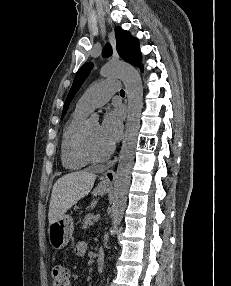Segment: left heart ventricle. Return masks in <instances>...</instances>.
I'll return each mask as SVG.
<instances>
[{"label":"left heart ventricle","instance_id":"left-heart-ventricle-1","mask_svg":"<svg viewBox=\"0 0 231 286\" xmlns=\"http://www.w3.org/2000/svg\"><path fill=\"white\" fill-rule=\"evenodd\" d=\"M87 143L89 151L94 156H102L110 148V145L101 136L99 123L96 121L88 122Z\"/></svg>","mask_w":231,"mask_h":286}]
</instances>
